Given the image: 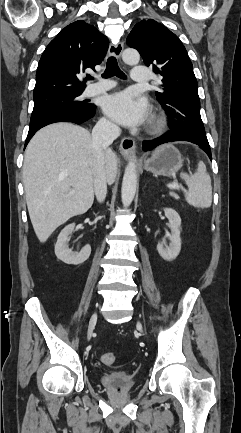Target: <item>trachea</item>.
Segmentation results:
<instances>
[{
  "label": "trachea",
  "instance_id": "obj_1",
  "mask_svg": "<svg viewBox=\"0 0 241 433\" xmlns=\"http://www.w3.org/2000/svg\"><path fill=\"white\" fill-rule=\"evenodd\" d=\"M111 76H117L121 79H125V74L120 70L117 60L114 56H111L107 60L106 70L102 74L103 78H109ZM87 79H91V76L87 77Z\"/></svg>",
  "mask_w": 241,
  "mask_h": 433
}]
</instances>
